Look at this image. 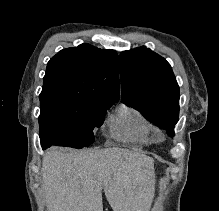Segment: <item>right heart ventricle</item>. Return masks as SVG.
I'll return each mask as SVG.
<instances>
[{"label":"right heart ventricle","instance_id":"obj_1","mask_svg":"<svg viewBox=\"0 0 219 211\" xmlns=\"http://www.w3.org/2000/svg\"><path fill=\"white\" fill-rule=\"evenodd\" d=\"M112 135L120 140L138 143H149L158 130L138 109L121 105L116 114L109 120Z\"/></svg>","mask_w":219,"mask_h":211}]
</instances>
